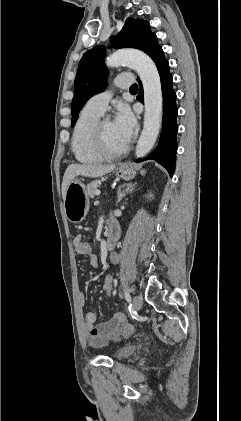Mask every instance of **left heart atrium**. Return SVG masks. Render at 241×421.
<instances>
[{
  "label": "left heart atrium",
  "mask_w": 241,
  "mask_h": 421,
  "mask_svg": "<svg viewBox=\"0 0 241 421\" xmlns=\"http://www.w3.org/2000/svg\"><path fill=\"white\" fill-rule=\"evenodd\" d=\"M113 124L121 138L128 143L135 134L137 127L136 119L129 108L121 106L118 109Z\"/></svg>",
  "instance_id": "1"
}]
</instances>
